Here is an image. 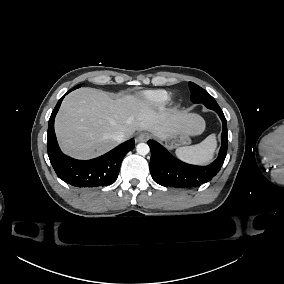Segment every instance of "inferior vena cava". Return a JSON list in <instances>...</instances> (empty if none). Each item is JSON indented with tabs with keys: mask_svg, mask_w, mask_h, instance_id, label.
<instances>
[{
	"mask_svg": "<svg viewBox=\"0 0 284 284\" xmlns=\"http://www.w3.org/2000/svg\"><path fill=\"white\" fill-rule=\"evenodd\" d=\"M114 140L117 141L118 143H121L125 140L124 134L123 133H118L114 136Z\"/></svg>",
	"mask_w": 284,
	"mask_h": 284,
	"instance_id": "inferior-vena-cava-1",
	"label": "inferior vena cava"
}]
</instances>
